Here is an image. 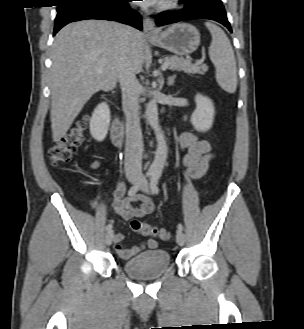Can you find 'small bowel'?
<instances>
[{
    "instance_id": "obj_1",
    "label": "small bowel",
    "mask_w": 304,
    "mask_h": 329,
    "mask_svg": "<svg viewBox=\"0 0 304 329\" xmlns=\"http://www.w3.org/2000/svg\"><path fill=\"white\" fill-rule=\"evenodd\" d=\"M179 148L184 152L183 164L188 174L192 178H201L205 175L210 161L213 159L212 146L204 139L192 132H184L178 140ZM93 167H98V162H93ZM125 192L124 182L118 183L116 191V200L114 209L116 214L124 220H130L134 217H143L152 213L155 209L153 200L149 196H132L122 198ZM124 236L121 233L115 235L114 248L122 259H129L142 251L143 249H154L157 242L154 239H148L140 245L133 247H124L122 241Z\"/></svg>"
}]
</instances>
